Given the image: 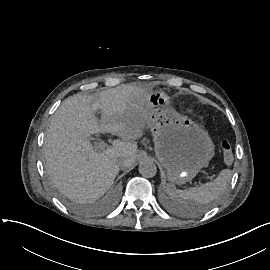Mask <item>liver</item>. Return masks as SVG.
Masks as SVG:
<instances>
[{
    "label": "liver",
    "mask_w": 270,
    "mask_h": 270,
    "mask_svg": "<svg viewBox=\"0 0 270 270\" xmlns=\"http://www.w3.org/2000/svg\"><path fill=\"white\" fill-rule=\"evenodd\" d=\"M145 89L133 84L102 91L97 97L76 94L65 99L53 117L44 142L51 182L74 201L90 202L106 192L122 166L136 160V141L144 135L150 112ZM102 112L101 124L93 114ZM103 122L112 124L104 129ZM107 132L126 141L96 151L91 135Z\"/></svg>",
    "instance_id": "6515ba94"
}]
</instances>
